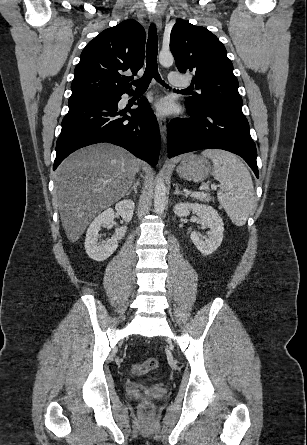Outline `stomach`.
I'll list each match as a JSON object with an SVG mask.
<instances>
[{
	"label": "stomach",
	"mask_w": 307,
	"mask_h": 445,
	"mask_svg": "<svg viewBox=\"0 0 307 445\" xmlns=\"http://www.w3.org/2000/svg\"><path fill=\"white\" fill-rule=\"evenodd\" d=\"M181 178L202 182L207 178L212 170V164L208 158L197 156V154H187L176 168Z\"/></svg>",
	"instance_id": "stomach-1"
}]
</instances>
